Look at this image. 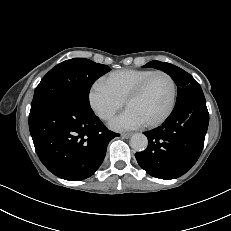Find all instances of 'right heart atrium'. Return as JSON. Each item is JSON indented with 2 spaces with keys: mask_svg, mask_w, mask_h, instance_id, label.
Wrapping results in <instances>:
<instances>
[{
  "mask_svg": "<svg viewBox=\"0 0 231 231\" xmlns=\"http://www.w3.org/2000/svg\"><path fill=\"white\" fill-rule=\"evenodd\" d=\"M88 101L91 109L103 121L111 120L124 104L102 80L92 84Z\"/></svg>",
  "mask_w": 231,
  "mask_h": 231,
  "instance_id": "d8ad5b80",
  "label": "right heart atrium"
}]
</instances>
